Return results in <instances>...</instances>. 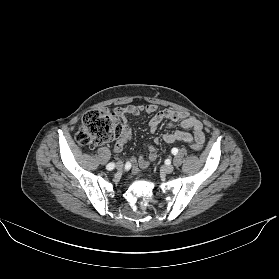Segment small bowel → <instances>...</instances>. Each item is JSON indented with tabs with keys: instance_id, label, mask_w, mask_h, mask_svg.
<instances>
[{
	"instance_id": "obj_1",
	"label": "small bowel",
	"mask_w": 279,
	"mask_h": 279,
	"mask_svg": "<svg viewBox=\"0 0 279 279\" xmlns=\"http://www.w3.org/2000/svg\"><path fill=\"white\" fill-rule=\"evenodd\" d=\"M120 116H139L142 113L152 114V117L149 121L150 131L154 133L159 125L164 120L170 121V127H173L175 124L180 126V129H177L173 132L165 133L161 136L160 139H156V143L163 141L165 143H173L175 141H181L186 144L188 143H197L202 145L205 141V134L203 131L202 123L194 116H189L185 112L175 111L172 109H160L155 104L148 105H127L124 108L117 110ZM131 130L129 126L125 123L124 133L119 137L116 143L113 146V152L119 153L123 150L125 145L130 141ZM149 160H152L157 155V149L154 146L148 148ZM149 164V161L142 155L134 157L131 160V166L134 172H138V168H146Z\"/></svg>"
}]
</instances>
